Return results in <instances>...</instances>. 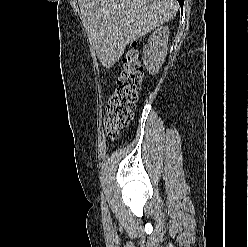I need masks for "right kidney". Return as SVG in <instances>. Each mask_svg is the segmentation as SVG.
<instances>
[{"mask_svg": "<svg viewBox=\"0 0 248 247\" xmlns=\"http://www.w3.org/2000/svg\"><path fill=\"white\" fill-rule=\"evenodd\" d=\"M169 28H157L148 39V44L143 47V62L150 74H155L161 68L167 55Z\"/></svg>", "mask_w": 248, "mask_h": 247, "instance_id": "1", "label": "right kidney"}]
</instances>
